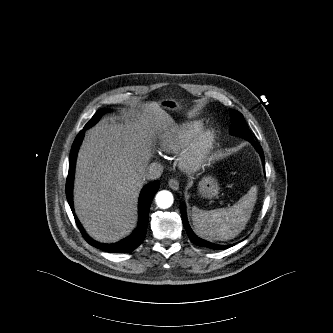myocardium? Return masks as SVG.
<instances>
[{
	"instance_id": "1",
	"label": "myocardium",
	"mask_w": 333,
	"mask_h": 333,
	"mask_svg": "<svg viewBox=\"0 0 333 333\" xmlns=\"http://www.w3.org/2000/svg\"><path fill=\"white\" fill-rule=\"evenodd\" d=\"M215 142V129H202L188 148L183 151L180 166L186 171L200 169L207 162Z\"/></svg>"
}]
</instances>
